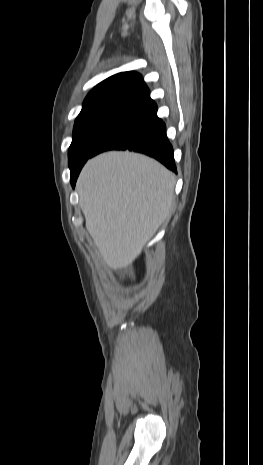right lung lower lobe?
<instances>
[{
  "instance_id": "obj_1",
  "label": "right lung lower lobe",
  "mask_w": 263,
  "mask_h": 465,
  "mask_svg": "<svg viewBox=\"0 0 263 465\" xmlns=\"http://www.w3.org/2000/svg\"><path fill=\"white\" fill-rule=\"evenodd\" d=\"M126 149L149 155L176 172L173 148L166 136V126L157 117V105L150 95L138 101L103 137L91 157L108 150ZM82 166L71 171L73 187Z\"/></svg>"
}]
</instances>
